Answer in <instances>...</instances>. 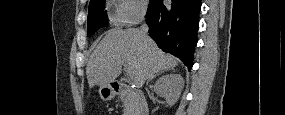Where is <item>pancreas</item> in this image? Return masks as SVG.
<instances>
[{"label": "pancreas", "instance_id": "cf45deb5", "mask_svg": "<svg viewBox=\"0 0 285 115\" xmlns=\"http://www.w3.org/2000/svg\"><path fill=\"white\" fill-rule=\"evenodd\" d=\"M135 94L130 91L127 92L124 96H123V107H124V115H129V113L132 111L133 107H134V102H135Z\"/></svg>", "mask_w": 285, "mask_h": 115}]
</instances>
